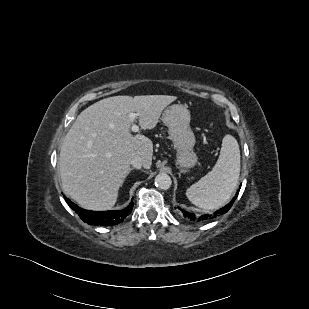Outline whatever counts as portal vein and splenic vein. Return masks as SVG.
<instances>
[{"label":"portal vein and splenic vein","mask_w":309,"mask_h":309,"mask_svg":"<svg viewBox=\"0 0 309 309\" xmlns=\"http://www.w3.org/2000/svg\"><path fill=\"white\" fill-rule=\"evenodd\" d=\"M137 116H138V114H136V113H130V114H129V118H130V120H131L132 122L135 121V118H136ZM131 130H132L133 132H137V131L139 130V127H138L136 124H133L132 127H131Z\"/></svg>","instance_id":"portal-vein-and-splenic-vein-1"}]
</instances>
